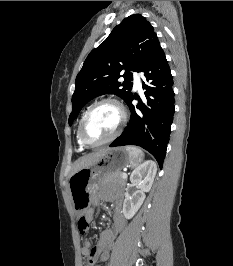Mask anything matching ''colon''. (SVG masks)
I'll list each match as a JSON object with an SVG mask.
<instances>
[{
  "label": "colon",
  "mask_w": 233,
  "mask_h": 266,
  "mask_svg": "<svg viewBox=\"0 0 233 266\" xmlns=\"http://www.w3.org/2000/svg\"><path fill=\"white\" fill-rule=\"evenodd\" d=\"M78 228H79V231L81 233H85L88 229V221L86 219V217L82 216L80 217L79 221H78ZM86 261L87 263H89L91 261V256H88L86 258Z\"/></svg>",
  "instance_id": "1"
}]
</instances>
